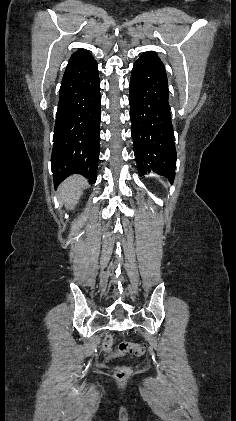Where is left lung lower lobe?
Listing matches in <instances>:
<instances>
[{
  "label": "left lung lower lobe",
  "mask_w": 236,
  "mask_h": 421,
  "mask_svg": "<svg viewBox=\"0 0 236 421\" xmlns=\"http://www.w3.org/2000/svg\"><path fill=\"white\" fill-rule=\"evenodd\" d=\"M168 99L164 64L156 52H145L134 63L130 80L134 154L140 176L153 171L166 176L172 183L176 149Z\"/></svg>",
  "instance_id": "0a47b994"
}]
</instances>
